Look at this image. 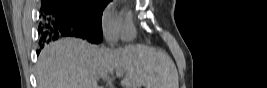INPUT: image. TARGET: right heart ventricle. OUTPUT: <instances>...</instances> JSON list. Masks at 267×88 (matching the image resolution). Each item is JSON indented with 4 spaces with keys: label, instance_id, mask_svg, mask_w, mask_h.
<instances>
[{
    "label": "right heart ventricle",
    "instance_id": "e07e8e85",
    "mask_svg": "<svg viewBox=\"0 0 267 88\" xmlns=\"http://www.w3.org/2000/svg\"><path fill=\"white\" fill-rule=\"evenodd\" d=\"M122 37L124 39H131L134 37L135 31L132 23L131 13L128 11H122Z\"/></svg>",
    "mask_w": 267,
    "mask_h": 88
}]
</instances>
